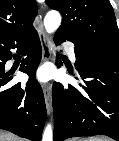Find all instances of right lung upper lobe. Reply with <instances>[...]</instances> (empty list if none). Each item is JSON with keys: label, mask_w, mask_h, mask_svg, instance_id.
Instances as JSON below:
<instances>
[{"label": "right lung upper lobe", "mask_w": 119, "mask_h": 141, "mask_svg": "<svg viewBox=\"0 0 119 141\" xmlns=\"http://www.w3.org/2000/svg\"><path fill=\"white\" fill-rule=\"evenodd\" d=\"M36 15L35 0H0V48L28 35Z\"/></svg>", "instance_id": "obj_1"}]
</instances>
